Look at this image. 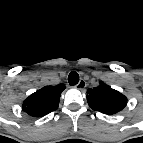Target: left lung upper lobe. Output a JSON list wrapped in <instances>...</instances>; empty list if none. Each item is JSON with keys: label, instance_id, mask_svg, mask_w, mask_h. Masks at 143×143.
<instances>
[{"label": "left lung upper lobe", "instance_id": "obj_1", "mask_svg": "<svg viewBox=\"0 0 143 143\" xmlns=\"http://www.w3.org/2000/svg\"><path fill=\"white\" fill-rule=\"evenodd\" d=\"M87 93L89 106L107 115L116 114L127 105V98L123 94L103 82L98 87L88 89Z\"/></svg>", "mask_w": 143, "mask_h": 143}]
</instances>
